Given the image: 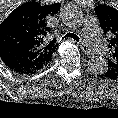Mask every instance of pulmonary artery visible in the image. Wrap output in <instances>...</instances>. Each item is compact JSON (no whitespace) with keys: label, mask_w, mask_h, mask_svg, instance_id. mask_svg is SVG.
I'll use <instances>...</instances> for the list:
<instances>
[{"label":"pulmonary artery","mask_w":118,"mask_h":118,"mask_svg":"<svg viewBox=\"0 0 118 118\" xmlns=\"http://www.w3.org/2000/svg\"><path fill=\"white\" fill-rule=\"evenodd\" d=\"M84 35L87 45L97 54L104 55L106 47L97 27V20L89 16L84 20Z\"/></svg>","instance_id":"pulmonary-artery-1"}]
</instances>
